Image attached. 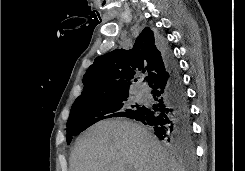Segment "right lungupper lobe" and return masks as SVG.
I'll use <instances>...</instances> for the list:
<instances>
[{
    "label": "right lung upper lobe",
    "instance_id": "obj_1",
    "mask_svg": "<svg viewBox=\"0 0 245 171\" xmlns=\"http://www.w3.org/2000/svg\"><path fill=\"white\" fill-rule=\"evenodd\" d=\"M137 72H147L145 80L149 86L167 74L162 50L149 27L137 37L132 49H116L98 56L87 69L83 92L75 101L129 94Z\"/></svg>",
    "mask_w": 245,
    "mask_h": 171
}]
</instances>
